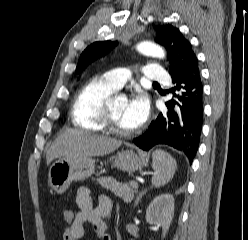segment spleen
Here are the masks:
<instances>
[{"mask_svg": "<svg viewBox=\"0 0 248 240\" xmlns=\"http://www.w3.org/2000/svg\"><path fill=\"white\" fill-rule=\"evenodd\" d=\"M152 168L154 169L152 185L161 187L173 178L177 169V163L169 153L156 149L152 153Z\"/></svg>", "mask_w": 248, "mask_h": 240, "instance_id": "3e777b00", "label": "spleen"}]
</instances>
